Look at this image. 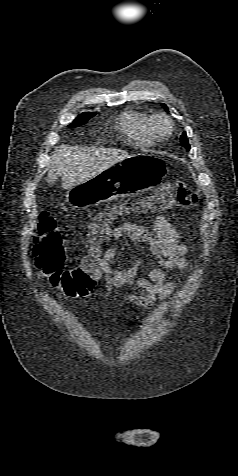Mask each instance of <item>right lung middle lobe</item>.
Returning <instances> with one entry per match:
<instances>
[{"label": "right lung middle lobe", "instance_id": "dd1d6c3e", "mask_svg": "<svg viewBox=\"0 0 238 476\" xmlns=\"http://www.w3.org/2000/svg\"><path fill=\"white\" fill-rule=\"evenodd\" d=\"M96 113L95 112H85V113H82L81 115H79L74 121L73 123H71L69 125V127H76V126H79L81 124H84L85 122H87L91 117H93Z\"/></svg>", "mask_w": 238, "mask_h": 476}]
</instances>
